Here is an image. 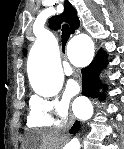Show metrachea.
<instances>
[{"label": "trachea", "mask_w": 124, "mask_h": 149, "mask_svg": "<svg viewBox=\"0 0 124 149\" xmlns=\"http://www.w3.org/2000/svg\"><path fill=\"white\" fill-rule=\"evenodd\" d=\"M62 43H66L70 37V28L68 25H63V28H62Z\"/></svg>", "instance_id": "trachea-1"}]
</instances>
